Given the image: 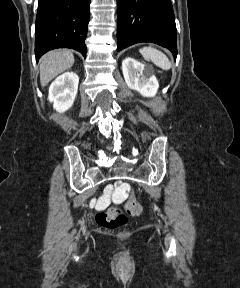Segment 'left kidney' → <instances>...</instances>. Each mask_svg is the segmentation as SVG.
<instances>
[{"label": "left kidney", "instance_id": "obj_1", "mask_svg": "<svg viewBox=\"0 0 240 288\" xmlns=\"http://www.w3.org/2000/svg\"><path fill=\"white\" fill-rule=\"evenodd\" d=\"M122 71L125 82L130 89L138 91L144 97H154L159 83L151 68L127 57L122 62Z\"/></svg>", "mask_w": 240, "mask_h": 288}]
</instances>
